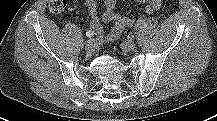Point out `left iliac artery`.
Returning <instances> with one entry per match:
<instances>
[{"instance_id":"obj_1","label":"left iliac artery","mask_w":217,"mask_h":121,"mask_svg":"<svg viewBox=\"0 0 217 121\" xmlns=\"http://www.w3.org/2000/svg\"><path fill=\"white\" fill-rule=\"evenodd\" d=\"M151 21L147 18H139L135 24V29H140L142 27H145L149 25Z\"/></svg>"}]
</instances>
